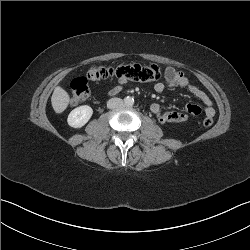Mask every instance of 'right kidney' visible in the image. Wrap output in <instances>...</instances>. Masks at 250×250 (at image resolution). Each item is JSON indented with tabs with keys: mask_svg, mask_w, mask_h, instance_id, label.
Instances as JSON below:
<instances>
[{
	"mask_svg": "<svg viewBox=\"0 0 250 250\" xmlns=\"http://www.w3.org/2000/svg\"><path fill=\"white\" fill-rule=\"evenodd\" d=\"M93 114V109L88 105H83L72 110L68 116L69 126L81 128L84 126Z\"/></svg>",
	"mask_w": 250,
	"mask_h": 250,
	"instance_id": "right-kidney-1",
	"label": "right kidney"
}]
</instances>
